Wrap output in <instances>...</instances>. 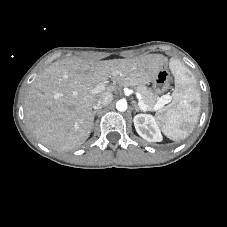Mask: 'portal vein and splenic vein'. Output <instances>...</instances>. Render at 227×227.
<instances>
[{"label": "portal vein and splenic vein", "mask_w": 227, "mask_h": 227, "mask_svg": "<svg viewBox=\"0 0 227 227\" xmlns=\"http://www.w3.org/2000/svg\"><path fill=\"white\" fill-rule=\"evenodd\" d=\"M105 89V85L104 84H98L96 85L95 88L92 89V93L93 94H97L102 92ZM138 98V105L139 107L143 110V111H147V106L146 104L142 101L141 95L138 94L137 95ZM170 101V97L169 96H163L155 105V109H160L162 108L165 104H167Z\"/></svg>", "instance_id": "obj_1"}]
</instances>
